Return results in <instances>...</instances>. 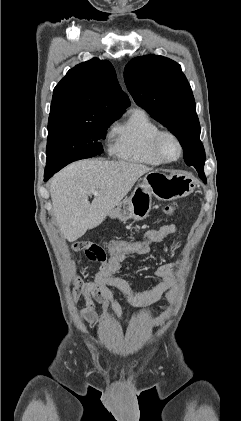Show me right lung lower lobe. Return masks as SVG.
I'll list each match as a JSON object with an SVG mask.
<instances>
[{
	"instance_id": "1",
	"label": "right lung lower lobe",
	"mask_w": 241,
	"mask_h": 421,
	"mask_svg": "<svg viewBox=\"0 0 241 421\" xmlns=\"http://www.w3.org/2000/svg\"><path fill=\"white\" fill-rule=\"evenodd\" d=\"M58 169H45L44 180H48L51 176H53Z\"/></svg>"
}]
</instances>
